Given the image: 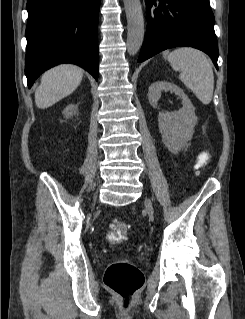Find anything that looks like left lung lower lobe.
Listing matches in <instances>:
<instances>
[{
  "instance_id": "left-lung-lower-lobe-1",
  "label": "left lung lower lobe",
  "mask_w": 245,
  "mask_h": 319,
  "mask_svg": "<svg viewBox=\"0 0 245 319\" xmlns=\"http://www.w3.org/2000/svg\"><path fill=\"white\" fill-rule=\"evenodd\" d=\"M158 7L151 10V2ZM147 28L138 62L176 46L207 53L218 69L214 15L207 0H146Z\"/></svg>"
}]
</instances>
